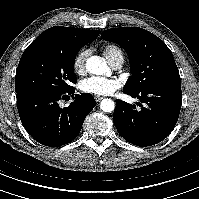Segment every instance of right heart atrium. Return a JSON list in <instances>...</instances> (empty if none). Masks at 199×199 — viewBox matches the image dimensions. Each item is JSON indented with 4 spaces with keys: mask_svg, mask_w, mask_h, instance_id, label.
<instances>
[{
    "mask_svg": "<svg viewBox=\"0 0 199 199\" xmlns=\"http://www.w3.org/2000/svg\"><path fill=\"white\" fill-rule=\"evenodd\" d=\"M90 55L89 49L79 51L73 59V70L76 74H83L86 70V60Z\"/></svg>",
    "mask_w": 199,
    "mask_h": 199,
    "instance_id": "1",
    "label": "right heart atrium"
}]
</instances>
